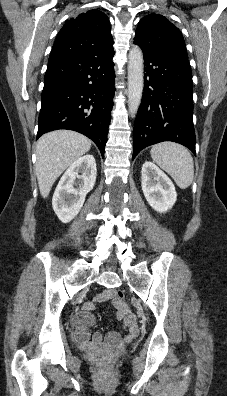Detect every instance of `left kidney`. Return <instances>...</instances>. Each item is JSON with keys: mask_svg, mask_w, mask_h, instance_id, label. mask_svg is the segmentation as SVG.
Listing matches in <instances>:
<instances>
[{"mask_svg": "<svg viewBox=\"0 0 227 396\" xmlns=\"http://www.w3.org/2000/svg\"><path fill=\"white\" fill-rule=\"evenodd\" d=\"M141 186L147 202L159 213L167 212L177 200L173 182L150 161H146L142 166Z\"/></svg>", "mask_w": 227, "mask_h": 396, "instance_id": "1", "label": "left kidney"}]
</instances>
